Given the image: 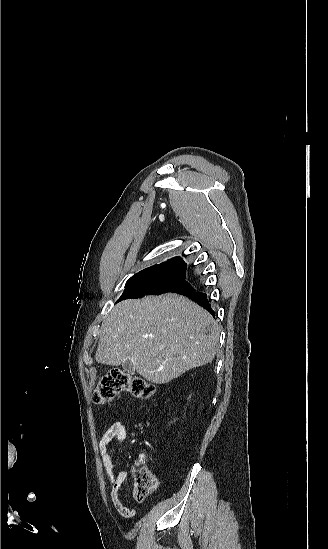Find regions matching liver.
<instances>
[{"label": "liver", "instance_id": "liver-1", "mask_svg": "<svg viewBox=\"0 0 328 549\" xmlns=\"http://www.w3.org/2000/svg\"><path fill=\"white\" fill-rule=\"evenodd\" d=\"M218 341L217 323L208 311L168 293L115 305L101 325L95 359L112 367L131 359L146 381L164 385L212 363Z\"/></svg>", "mask_w": 328, "mask_h": 549}]
</instances>
